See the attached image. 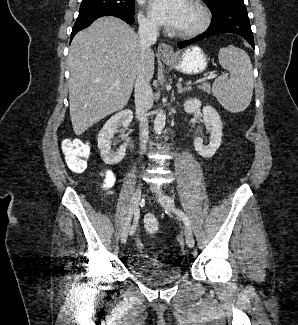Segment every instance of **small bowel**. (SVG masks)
Here are the masks:
<instances>
[{
	"label": "small bowel",
	"mask_w": 298,
	"mask_h": 325,
	"mask_svg": "<svg viewBox=\"0 0 298 325\" xmlns=\"http://www.w3.org/2000/svg\"><path fill=\"white\" fill-rule=\"evenodd\" d=\"M103 182H102V189L107 191L108 193L113 192V188L116 184V176L112 170L105 169L100 173Z\"/></svg>",
	"instance_id": "1"
}]
</instances>
